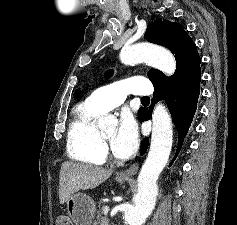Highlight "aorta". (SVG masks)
<instances>
[{
  "label": "aorta",
  "mask_w": 237,
  "mask_h": 225,
  "mask_svg": "<svg viewBox=\"0 0 237 225\" xmlns=\"http://www.w3.org/2000/svg\"><path fill=\"white\" fill-rule=\"evenodd\" d=\"M120 59L126 65L145 62L166 75H172L176 68L172 53L147 43L123 48ZM152 122L150 150L138 176V190L134 197V204L129 205L124 212L126 225H142L151 213L158 192L157 180L171 152L172 121L167 108L162 103L155 106ZM116 125L117 119L113 115L101 117L98 121V126L102 129Z\"/></svg>",
  "instance_id": "obj_1"
}]
</instances>
